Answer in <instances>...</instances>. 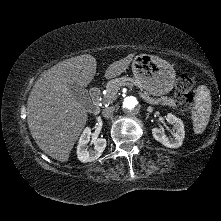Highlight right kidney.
Instances as JSON below:
<instances>
[{
  "mask_svg": "<svg viewBox=\"0 0 221 221\" xmlns=\"http://www.w3.org/2000/svg\"><path fill=\"white\" fill-rule=\"evenodd\" d=\"M90 138L91 129L86 127L80 136L77 146V157L83 163L95 161L101 156L106 148V139L96 138L91 141L94 144V150H88L87 144L89 143Z\"/></svg>",
  "mask_w": 221,
  "mask_h": 221,
  "instance_id": "right-kidney-1",
  "label": "right kidney"
}]
</instances>
